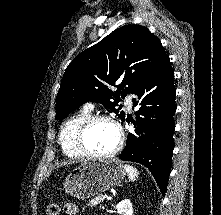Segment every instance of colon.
Listing matches in <instances>:
<instances>
[{
    "label": "colon",
    "mask_w": 221,
    "mask_h": 215,
    "mask_svg": "<svg viewBox=\"0 0 221 215\" xmlns=\"http://www.w3.org/2000/svg\"><path fill=\"white\" fill-rule=\"evenodd\" d=\"M60 213V207L56 203H50L47 206L46 214L47 215H59Z\"/></svg>",
    "instance_id": "1"
}]
</instances>
